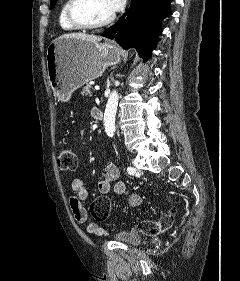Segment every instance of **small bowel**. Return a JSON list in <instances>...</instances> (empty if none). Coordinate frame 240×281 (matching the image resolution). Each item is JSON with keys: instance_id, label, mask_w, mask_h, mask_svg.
Wrapping results in <instances>:
<instances>
[{"instance_id": "1", "label": "small bowel", "mask_w": 240, "mask_h": 281, "mask_svg": "<svg viewBox=\"0 0 240 281\" xmlns=\"http://www.w3.org/2000/svg\"><path fill=\"white\" fill-rule=\"evenodd\" d=\"M94 109L91 114L93 116ZM94 117V116H93ZM73 194L70 198V209L75 220L84 225L85 231L98 236L106 234V230L99 228L95 223L88 221V214L83 205L87 198V191L84 182L81 179H74L71 183ZM98 191L107 194L111 190L117 194L127 197L129 206L136 207L141 203V197L138 194L128 191L125 182L119 179V169L114 164H108L102 173V178L98 182Z\"/></svg>"}]
</instances>
